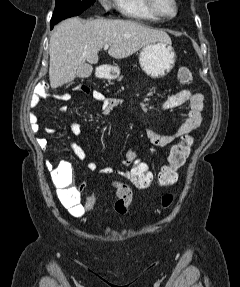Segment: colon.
Listing matches in <instances>:
<instances>
[{
	"mask_svg": "<svg viewBox=\"0 0 240 287\" xmlns=\"http://www.w3.org/2000/svg\"><path fill=\"white\" fill-rule=\"evenodd\" d=\"M178 80L187 86L192 85L193 75L186 67L178 70ZM82 85L77 87L80 90ZM193 138L191 134L181 136L180 142L174 144L168 153L166 163L158 171H154L151 166L138 155L127 168L126 180L139 189H147L151 185L170 186L174 184L178 177V170L184 165L190 154ZM52 179L56 185L61 187L62 194H71L76 191L72 185V168L66 161H61L52 171ZM117 190V200L114 204L115 211L120 215H125L132 202V190L126 184L118 182L115 184ZM97 201V193L90 191L87 194L84 208L86 212H92ZM173 202L170 194L162 197V207L168 208Z\"/></svg>",
	"mask_w": 240,
	"mask_h": 287,
	"instance_id": "5ec220e1",
	"label": "colon"
}]
</instances>
